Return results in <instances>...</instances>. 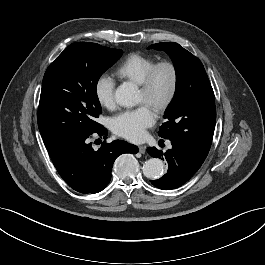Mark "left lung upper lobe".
I'll list each match as a JSON object with an SVG mask.
<instances>
[{"instance_id": "left-lung-upper-lobe-1", "label": "left lung upper lobe", "mask_w": 265, "mask_h": 265, "mask_svg": "<svg viewBox=\"0 0 265 265\" xmlns=\"http://www.w3.org/2000/svg\"><path fill=\"white\" fill-rule=\"evenodd\" d=\"M171 57L176 71V91L168 105L158 135L190 149L205 160L215 129L214 92L201 61L177 43L149 46Z\"/></svg>"}]
</instances>
